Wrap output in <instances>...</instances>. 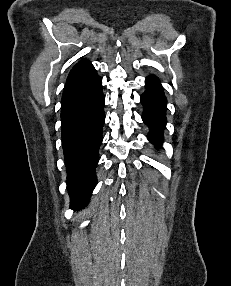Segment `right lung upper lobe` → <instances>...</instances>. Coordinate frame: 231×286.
Here are the masks:
<instances>
[{
  "label": "right lung upper lobe",
  "instance_id": "1",
  "mask_svg": "<svg viewBox=\"0 0 231 286\" xmlns=\"http://www.w3.org/2000/svg\"><path fill=\"white\" fill-rule=\"evenodd\" d=\"M94 71L92 64L88 60L82 59L72 68L67 80L73 79L80 74H88Z\"/></svg>",
  "mask_w": 231,
  "mask_h": 286
}]
</instances>
